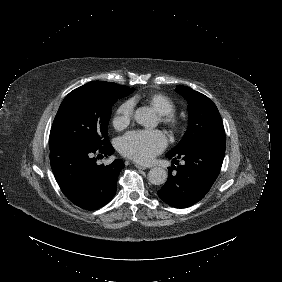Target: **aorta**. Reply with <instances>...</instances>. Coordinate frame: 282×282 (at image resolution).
Instances as JSON below:
<instances>
[{
    "label": "aorta",
    "instance_id": "1",
    "mask_svg": "<svg viewBox=\"0 0 282 282\" xmlns=\"http://www.w3.org/2000/svg\"><path fill=\"white\" fill-rule=\"evenodd\" d=\"M136 122L147 128H154L157 124L155 115L148 107H140L135 111ZM148 180L153 185H162L167 180V172L161 167H154L148 173Z\"/></svg>",
    "mask_w": 282,
    "mask_h": 282
}]
</instances>
